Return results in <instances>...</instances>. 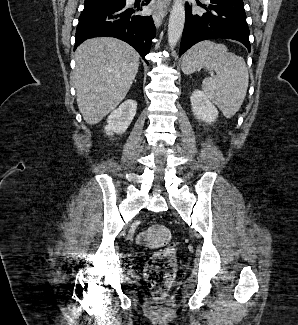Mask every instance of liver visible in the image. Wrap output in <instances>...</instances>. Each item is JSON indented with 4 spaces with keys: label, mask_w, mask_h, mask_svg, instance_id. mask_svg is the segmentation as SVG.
<instances>
[{
    "label": "liver",
    "mask_w": 298,
    "mask_h": 325,
    "mask_svg": "<svg viewBox=\"0 0 298 325\" xmlns=\"http://www.w3.org/2000/svg\"><path fill=\"white\" fill-rule=\"evenodd\" d=\"M140 54L123 40L99 36L75 52L77 106L87 124H97L125 98L139 68Z\"/></svg>",
    "instance_id": "6515ba94"
}]
</instances>
